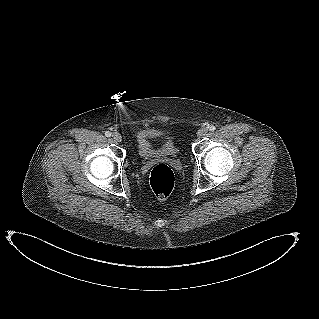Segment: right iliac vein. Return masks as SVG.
<instances>
[{"label": "right iliac vein", "instance_id": "1", "mask_svg": "<svg viewBox=\"0 0 319 319\" xmlns=\"http://www.w3.org/2000/svg\"><path fill=\"white\" fill-rule=\"evenodd\" d=\"M112 138H113V140L116 141V142H121V141H122V136H121L119 133H114V134L112 135Z\"/></svg>", "mask_w": 319, "mask_h": 319}]
</instances>
